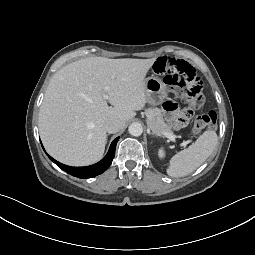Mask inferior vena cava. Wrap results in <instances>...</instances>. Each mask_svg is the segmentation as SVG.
Returning a JSON list of instances; mask_svg holds the SVG:
<instances>
[{
	"label": "inferior vena cava",
	"instance_id": "1",
	"mask_svg": "<svg viewBox=\"0 0 255 255\" xmlns=\"http://www.w3.org/2000/svg\"><path fill=\"white\" fill-rule=\"evenodd\" d=\"M124 126L123 121L116 118H109L105 121L104 127L108 133H116L120 131Z\"/></svg>",
	"mask_w": 255,
	"mask_h": 255
}]
</instances>
